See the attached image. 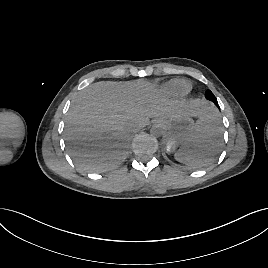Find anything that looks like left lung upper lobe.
<instances>
[{"label": "left lung upper lobe", "instance_id": "left-lung-upper-lobe-1", "mask_svg": "<svg viewBox=\"0 0 268 268\" xmlns=\"http://www.w3.org/2000/svg\"><path fill=\"white\" fill-rule=\"evenodd\" d=\"M205 97L206 99L212 101V102H217V99L216 97L214 96V94L210 91V90H207L206 93H205Z\"/></svg>", "mask_w": 268, "mask_h": 268}]
</instances>
